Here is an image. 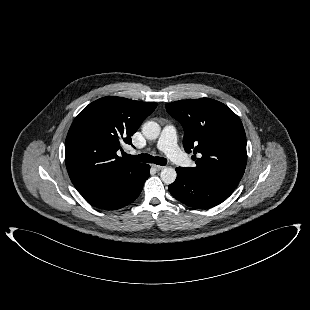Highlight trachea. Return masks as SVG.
<instances>
[{"mask_svg":"<svg viewBox=\"0 0 310 310\" xmlns=\"http://www.w3.org/2000/svg\"><path fill=\"white\" fill-rule=\"evenodd\" d=\"M123 157L128 160L137 161V162H145V163H154L157 165H166L167 159L163 157H153L149 154H139V155H129L127 153H123Z\"/></svg>","mask_w":310,"mask_h":310,"instance_id":"3493384b","label":"trachea"}]
</instances>
